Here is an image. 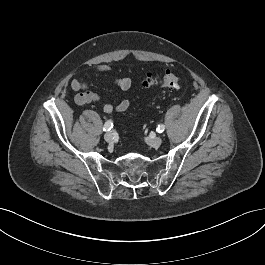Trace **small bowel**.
<instances>
[{"mask_svg":"<svg viewBox=\"0 0 265 265\" xmlns=\"http://www.w3.org/2000/svg\"><path fill=\"white\" fill-rule=\"evenodd\" d=\"M112 71L113 69L111 66L106 64H101L95 66L90 74L94 76L107 75L110 74ZM113 82L122 90H128L132 85L131 79L127 77L114 78ZM88 87H89V82L87 77L85 76L75 78L71 81L72 90L78 92L77 95L75 96V102L78 105L101 103L102 109L106 113H112L114 111L124 112L130 107V101L128 99H124L116 105H113L108 102H102L100 97L96 93L88 90Z\"/></svg>","mask_w":265,"mask_h":265,"instance_id":"1","label":"small bowel"}]
</instances>
